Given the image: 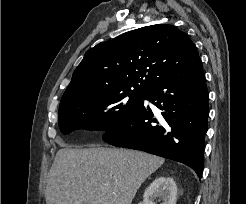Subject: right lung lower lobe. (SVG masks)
I'll return each mask as SVG.
<instances>
[{
  "label": "right lung lower lobe",
  "instance_id": "1",
  "mask_svg": "<svg viewBox=\"0 0 246 204\" xmlns=\"http://www.w3.org/2000/svg\"><path fill=\"white\" fill-rule=\"evenodd\" d=\"M142 99L160 111L153 113ZM209 94L201 60L164 77L142 93L137 107L102 139L114 146L143 150L191 167L201 179Z\"/></svg>",
  "mask_w": 246,
  "mask_h": 204
}]
</instances>
